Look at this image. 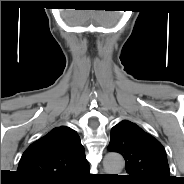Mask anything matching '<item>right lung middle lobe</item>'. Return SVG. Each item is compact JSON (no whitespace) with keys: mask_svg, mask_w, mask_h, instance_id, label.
I'll use <instances>...</instances> for the list:
<instances>
[{"mask_svg":"<svg viewBox=\"0 0 184 184\" xmlns=\"http://www.w3.org/2000/svg\"><path fill=\"white\" fill-rule=\"evenodd\" d=\"M41 184H52V183H41Z\"/></svg>","mask_w":184,"mask_h":184,"instance_id":"right-lung-middle-lobe-1","label":"right lung middle lobe"}]
</instances>
